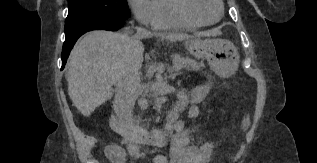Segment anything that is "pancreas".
<instances>
[{
    "instance_id": "obj_1",
    "label": "pancreas",
    "mask_w": 317,
    "mask_h": 163,
    "mask_svg": "<svg viewBox=\"0 0 317 163\" xmlns=\"http://www.w3.org/2000/svg\"><path fill=\"white\" fill-rule=\"evenodd\" d=\"M173 62L174 64L180 65L182 68H185L186 70L198 71L201 69V67H203L202 63L187 57H181L180 55H175Z\"/></svg>"
}]
</instances>
